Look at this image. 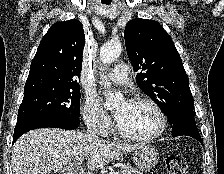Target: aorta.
I'll return each instance as SVG.
<instances>
[{"instance_id":"aorta-1","label":"aorta","mask_w":224,"mask_h":174,"mask_svg":"<svg viewBox=\"0 0 224 174\" xmlns=\"http://www.w3.org/2000/svg\"><path fill=\"white\" fill-rule=\"evenodd\" d=\"M122 53V44L119 41H112L100 48V59L104 64H110ZM124 100L122 94H114L111 91L106 93L105 106L109 109L116 107Z\"/></svg>"}]
</instances>
